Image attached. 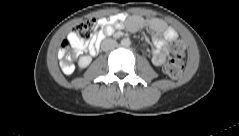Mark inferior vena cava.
I'll return each mask as SVG.
<instances>
[{
    "instance_id": "1",
    "label": "inferior vena cava",
    "mask_w": 239,
    "mask_h": 136,
    "mask_svg": "<svg viewBox=\"0 0 239 136\" xmlns=\"http://www.w3.org/2000/svg\"><path fill=\"white\" fill-rule=\"evenodd\" d=\"M117 46L116 40H113L111 38L104 39L101 43V49L103 51H109L114 49Z\"/></svg>"
}]
</instances>
